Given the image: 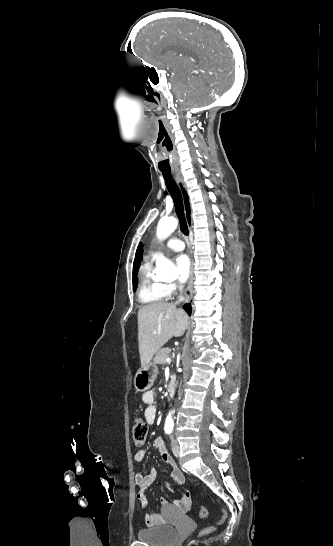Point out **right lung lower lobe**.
I'll list each match as a JSON object with an SVG mask.
<instances>
[{
    "label": "right lung lower lobe",
    "mask_w": 333,
    "mask_h": 546,
    "mask_svg": "<svg viewBox=\"0 0 333 546\" xmlns=\"http://www.w3.org/2000/svg\"><path fill=\"white\" fill-rule=\"evenodd\" d=\"M184 309L186 310V312L190 315L191 314V305L190 304H187L184 306Z\"/></svg>",
    "instance_id": "98d812e1"
}]
</instances>
